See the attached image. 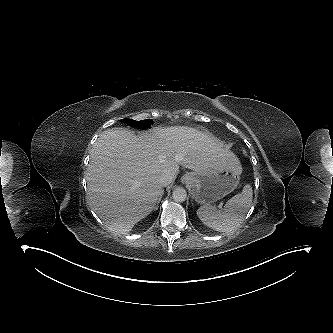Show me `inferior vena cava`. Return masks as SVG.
I'll return each mask as SVG.
<instances>
[{"instance_id":"obj_1","label":"inferior vena cava","mask_w":333,"mask_h":333,"mask_svg":"<svg viewBox=\"0 0 333 333\" xmlns=\"http://www.w3.org/2000/svg\"><path fill=\"white\" fill-rule=\"evenodd\" d=\"M172 180H173V176H172V174H171L169 171H167V170L163 171V172L159 175V177H158V179H157L158 183H159L161 186H167V185H169V184L172 182Z\"/></svg>"}]
</instances>
